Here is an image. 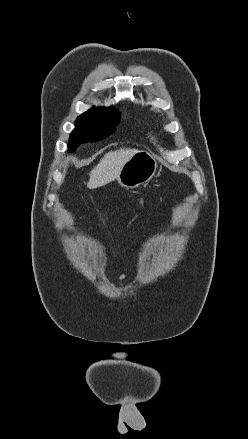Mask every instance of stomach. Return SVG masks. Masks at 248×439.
Masks as SVG:
<instances>
[{"instance_id": "1", "label": "stomach", "mask_w": 248, "mask_h": 439, "mask_svg": "<svg viewBox=\"0 0 248 439\" xmlns=\"http://www.w3.org/2000/svg\"><path fill=\"white\" fill-rule=\"evenodd\" d=\"M157 169L156 159L145 150H138L122 167L116 180L127 189L149 182Z\"/></svg>"}]
</instances>
